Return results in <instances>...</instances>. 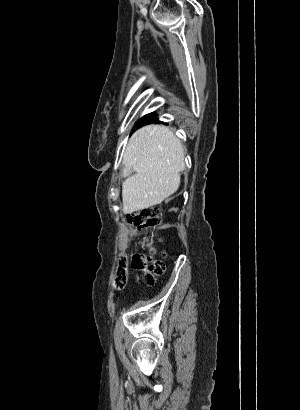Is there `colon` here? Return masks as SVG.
Listing matches in <instances>:
<instances>
[{
	"label": "colon",
	"mask_w": 300,
	"mask_h": 410,
	"mask_svg": "<svg viewBox=\"0 0 300 410\" xmlns=\"http://www.w3.org/2000/svg\"><path fill=\"white\" fill-rule=\"evenodd\" d=\"M127 223L136 227L138 232L143 235L144 241L152 247L151 253L154 255L156 250L153 248L156 238L148 235V232L157 229L161 225L159 209L147 207L127 218ZM131 265L135 270L142 272V279L149 285L155 283L156 277L163 274L165 265L162 260L154 259L150 255L136 254L132 257ZM128 281V261L121 259L115 276V287L122 289Z\"/></svg>",
	"instance_id": "5ec220e1"
}]
</instances>
